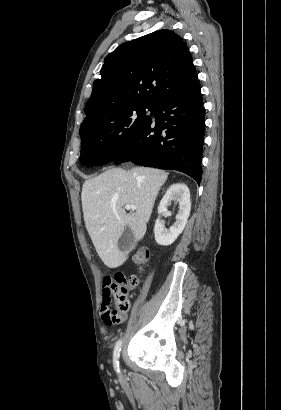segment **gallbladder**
I'll use <instances>...</instances> for the list:
<instances>
[{"label":"gallbladder","mask_w":281,"mask_h":410,"mask_svg":"<svg viewBox=\"0 0 281 410\" xmlns=\"http://www.w3.org/2000/svg\"><path fill=\"white\" fill-rule=\"evenodd\" d=\"M135 243L133 231L129 227H125L124 232L118 240V249L122 252L129 251Z\"/></svg>","instance_id":"1"}]
</instances>
